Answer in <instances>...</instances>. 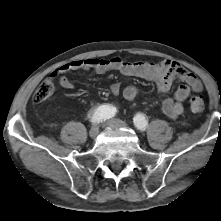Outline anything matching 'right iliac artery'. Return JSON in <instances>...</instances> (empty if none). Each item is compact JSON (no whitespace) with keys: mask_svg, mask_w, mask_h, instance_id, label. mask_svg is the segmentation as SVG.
Segmentation results:
<instances>
[{"mask_svg":"<svg viewBox=\"0 0 221 221\" xmlns=\"http://www.w3.org/2000/svg\"><path fill=\"white\" fill-rule=\"evenodd\" d=\"M117 110L115 107L110 105H101L96 108L93 113L91 114L90 121L92 123H100L107 119L114 117Z\"/></svg>","mask_w":221,"mask_h":221,"instance_id":"1","label":"right iliac artery"}]
</instances>
